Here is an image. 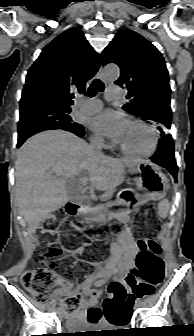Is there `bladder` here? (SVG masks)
Masks as SVG:
<instances>
[{"mask_svg":"<svg viewBox=\"0 0 194 336\" xmlns=\"http://www.w3.org/2000/svg\"><path fill=\"white\" fill-rule=\"evenodd\" d=\"M86 327H87V323L73 320L70 323H68L67 330L79 331V330L86 329Z\"/></svg>","mask_w":194,"mask_h":336,"instance_id":"31cf9c89","label":"bladder"}]
</instances>
